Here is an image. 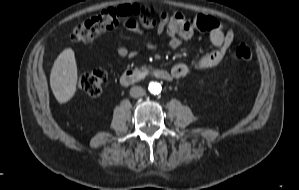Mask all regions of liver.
Instances as JSON below:
<instances>
[{
    "label": "liver",
    "mask_w": 299,
    "mask_h": 190,
    "mask_svg": "<svg viewBox=\"0 0 299 190\" xmlns=\"http://www.w3.org/2000/svg\"><path fill=\"white\" fill-rule=\"evenodd\" d=\"M77 78L74 52L65 49L55 60L50 74V86L58 102L65 103L73 97Z\"/></svg>",
    "instance_id": "liver-1"
}]
</instances>
